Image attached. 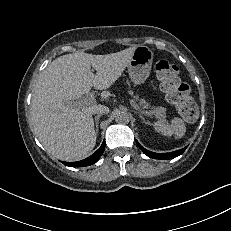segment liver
<instances>
[{"instance_id":"6515ba94","label":"liver","mask_w":231,"mask_h":231,"mask_svg":"<svg viewBox=\"0 0 231 231\" xmlns=\"http://www.w3.org/2000/svg\"><path fill=\"white\" fill-rule=\"evenodd\" d=\"M136 46L107 55L85 52L53 60L40 74L31 102V125L45 150L54 157L74 161L88 155L96 144L93 110L100 104L76 107L73 100L92 87L105 90L121 76ZM91 67L96 70L94 75ZM110 96L103 91L101 98Z\"/></svg>"}]
</instances>
